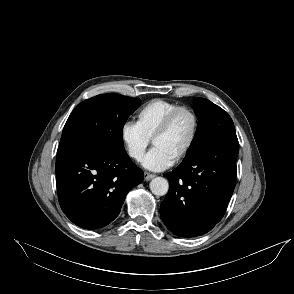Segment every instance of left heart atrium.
<instances>
[{"mask_svg": "<svg viewBox=\"0 0 294 294\" xmlns=\"http://www.w3.org/2000/svg\"><path fill=\"white\" fill-rule=\"evenodd\" d=\"M175 162V158L154 146L143 159V166L151 171H163Z\"/></svg>", "mask_w": 294, "mask_h": 294, "instance_id": "left-heart-atrium-1", "label": "left heart atrium"}]
</instances>
